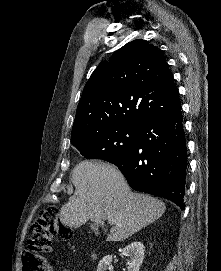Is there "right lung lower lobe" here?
<instances>
[{"label":"right lung lower lobe","instance_id":"right-lung-lower-lobe-1","mask_svg":"<svg viewBox=\"0 0 221 271\" xmlns=\"http://www.w3.org/2000/svg\"><path fill=\"white\" fill-rule=\"evenodd\" d=\"M131 188L185 209L187 148L181 106L140 126L135 145L113 162Z\"/></svg>","mask_w":221,"mask_h":271}]
</instances>
